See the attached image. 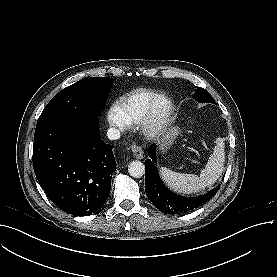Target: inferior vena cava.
I'll use <instances>...</instances> for the list:
<instances>
[{
  "label": "inferior vena cava",
  "mask_w": 277,
  "mask_h": 277,
  "mask_svg": "<svg viewBox=\"0 0 277 277\" xmlns=\"http://www.w3.org/2000/svg\"><path fill=\"white\" fill-rule=\"evenodd\" d=\"M107 137L110 140H117L120 138V131L116 128H109L107 131Z\"/></svg>",
  "instance_id": "602c4592"
}]
</instances>
